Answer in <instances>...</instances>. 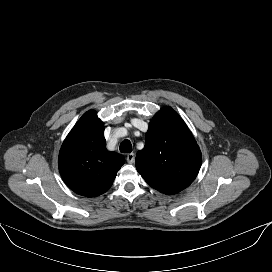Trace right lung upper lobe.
<instances>
[{"label": "right lung upper lobe", "mask_w": 272, "mask_h": 272, "mask_svg": "<svg viewBox=\"0 0 272 272\" xmlns=\"http://www.w3.org/2000/svg\"><path fill=\"white\" fill-rule=\"evenodd\" d=\"M124 157L106 149L103 123L94 110L86 112L73 127L59 152V172L75 193L96 197L112 185Z\"/></svg>", "instance_id": "right-lung-upper-lobe-1"}]
</instances>
